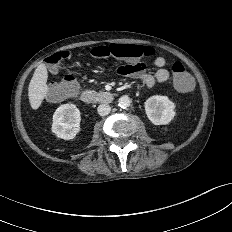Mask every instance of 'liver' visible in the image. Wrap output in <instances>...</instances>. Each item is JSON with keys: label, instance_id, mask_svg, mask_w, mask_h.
Wrapping results in <instances>:
<instances>
[{"label": "liver", "instance_id": "liver-1", "mask_svg": "<svg viewBox=\"0 0 232 232\" xmlns=\"http://www.w3.org/2000/svg\"><path fill=\"white\" fill-rule=\"evenodd\" d=\"M47 79L48 72L46 65L44 63H41L36 68L28 87L29 102L32 109L34 110L40 107L43 99L47 95Z\"/></svg>", "mask_w": 232, "mask_h": 232}]
</instances>
